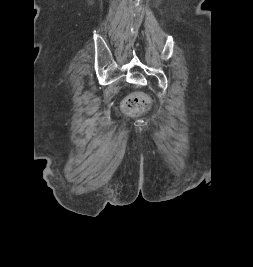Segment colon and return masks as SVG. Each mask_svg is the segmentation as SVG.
<instances>
[{
    "label": "colon",
    "mask_w": 253,
    "mask_h": 267,
    "mask_svg": "<svg viewBox=\"0 0 253 267\" xmlns=\"http://www.w3.org/2000/svg\"><path fill=\"white\" fill-rule=\"evenodd\" d=\"M149 98L142 93H135L127 97L123 102V108L130 114L140 113L148 109Z\"/></svg>",
    "instance_id": "1"
}]
</instances>
